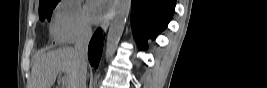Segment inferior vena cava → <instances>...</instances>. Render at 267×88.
Segmentation results:
<instances>
[{
    "mask_svg": "<svg viewBox=\"0 0 267 88\" xmlns=\"http://www.w3.org/2000/svg\"><path fill=\"white\" fill-rule=\"evenodd\" d=\"M91 35V26L85 24L75 39L73 51L78 63V75L74 88H86L87 52Z\"/></svg>",
    "mask_w": 267,
    "mask_h": 88,
    "instance_id": "1",
    "label": "inferior vena cava"
}]
</instances>
